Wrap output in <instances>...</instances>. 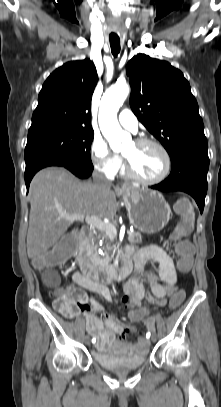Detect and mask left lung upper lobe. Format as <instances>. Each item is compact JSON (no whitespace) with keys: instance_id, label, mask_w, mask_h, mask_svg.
Segmentation results:
<instances>
[{"instance_id":"1","label":"left lung upper lobe","mask_w":221,"mask_h":407,"mask_svg":"<svg viewBox=\"0 0 221 407\" xmlns=\"http://www.w3.org/2000/svg\"><path fill=\"white\" fill-rule=\"evenodd\" d=\"M126 73L132 111L162 143L171 162L190 146L207 145L197 101L180 70L138 54L128 62Z\"/></svg>"}]
</instances>
